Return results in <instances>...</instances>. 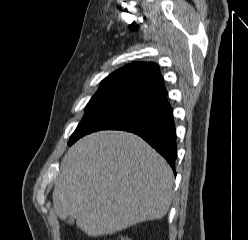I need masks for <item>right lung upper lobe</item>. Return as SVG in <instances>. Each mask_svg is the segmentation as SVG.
Returning <instances> with one entry per match:
<instances>
[{
	"label": "right lung upper lobe",
	"instance_id": "obj_1",
	"mask_svg": "<svg viewBox=\"0 0 248 240\" xmlns=\"http://www.w3.org/2000/svg\"><path fill=\"white\" fill-rule=\"evenodd\" d=\"M98 91H108L141 101L166 93L163 77L155 63L134 62L102 80Z\"/></svg>",
	"mask_w": 248,
	"mask_h": 240
}]
</instances>
